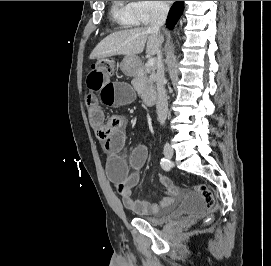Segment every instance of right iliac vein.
Masks as SVG:
<instances>
[{
	"mask_svg": "<svg viewBox=\"0 0 271 266\" xmlns=\"http://www.w3.org/2000/svg\"><path fill=\"white\" fill-rule=\"evenodd\" d=\"M163 153L166 158L172 159V157L174 155V150L169 144H165L163 147Z\"/></svg>",
	"mask_w": 271,
	"mask_h": 266,
	"instance_id": "63e3f726",
	"label": "right iliac vein"
}]
</instances>
